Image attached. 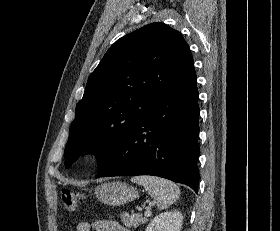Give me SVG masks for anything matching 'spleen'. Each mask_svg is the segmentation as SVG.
Returning <instances> with one entry per match:
<instances>
[{"label": "spleen", "mask_w": 280, "mask_h": 231, "mask_svg": "<svg viewBox=\"0 0 280 231\" xmlns=\"http://www.w3.org/2000/svg\"><path fill=\"white\" fill-rule=\"evenodd\" d=\"M131 181L139 183L147 189L149 195L154 197L155 203L159 209H166L168 205H172L180 195V189L176 183L156 177V175H136L131 177Z\"/></svg>", "instance_id": "spleen-1"}]
</instances>
